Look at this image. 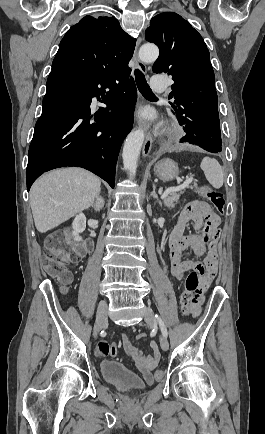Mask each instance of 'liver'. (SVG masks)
Instances as JSON below:
<instances>
[{"label": "liver", "instance_id": "6515ba94", "mask_svg": "<svg viewBox=\"0 0 265 434\" xmlns=\"http://www.w3.org/2000/svg\"><path fill=\"white\" fill-rule=\"evenodd\" d=\"M97 176L81 168L53 170L34 182L30 206L38 232L57 228L94 204L101 192Z\"/></svg>", "mask_w": 265, "mask_h": 434}]
</instances>
